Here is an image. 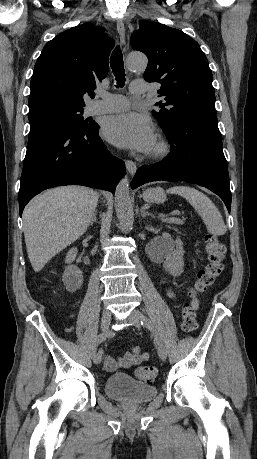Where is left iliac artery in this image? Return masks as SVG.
Segmentation results:
<instances>
[{"mask_svg": "<svg viewBox=\"0 0 257 459\" xmlns=\"http://www.w3.org/2000/svg\"><path fill=\"white\" fill-rule=\"evenodd\" d=\"M141 325L147 327L151 332H153L157 344H159L161 342V340H160L159 336L157 335V333H156L151 321L148 318L143 317V319L141 320Z\"/></svg>", "mask_w": 257, "mask_h": 459, "instance_id": "obj_1", "label": "left iliac artery"}]
</instances>
